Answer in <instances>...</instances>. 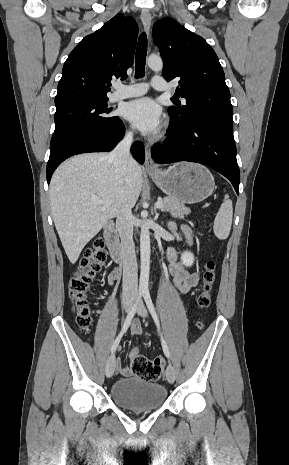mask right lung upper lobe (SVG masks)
I'll use <instances>...</instances> for the list:
<instances>
[{"instance_id": "obj_1", "label": "right lung upper lobe", "mask_w": 289, "mask_h": 465, "mask_svg": "<svg viewBox=\"0 0 289 465\" xmlns=\"http://www.w3.org/2000/svg\"><path fill=\"white\" fill-rule=\"evenodd\" d=\"M138 27L119 14L83 38L64 63L55 104L108 99L112 77H127L133 64Z\"/></svg>"}]
</instances>
